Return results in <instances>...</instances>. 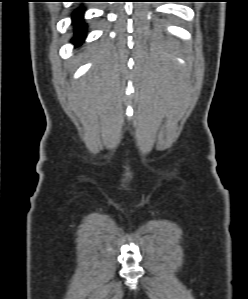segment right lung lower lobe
<instances>
[{
  "label": "right lung lower lobe",
  "mask_w": 248,
  "mask_h": 299,
  "mask_svg": "<svg viewBox=\"0 0 248 299\" xmlns=\"http://www.w3.org/2000/svg\"><path fill=\"white\" fill-rule=\"evenodd\" d=\"M85 12V8L80 6L73 11V26H74V38L72 42H76L80 45L84 41V37L86 36L87 24L84 23L83 13Z\"/></svg>",
  "instance_id": "obj_1"
}]
</instances>
